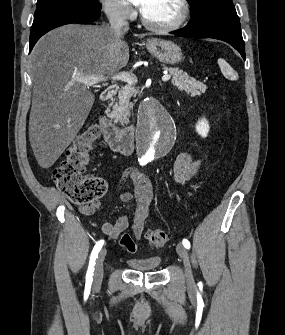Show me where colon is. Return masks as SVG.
I'll return each mask as SVG.
<instances>
[{
  "mask_svg": "<svg viewBox=\"0 0 285 335\" xmlns=\"http://www.w3.org/2000/svg\"><path fill=\"white\" fill-rule=\"evenodd\" d=\"M100 127H86L68 148L64 160L54 169L53 180L58 189L73 203L88 205L104 195L106 181L101 177L85 176L90 152L100 137ZM148 242L156 248H162L169 240V235L154 229L146 235ZM119 244L129 253H136L138 246L132 235L124 232L120 235Z\"/></svg>",
  "mask_w": 285,
  "mask_h": 335,
  "instance_id": "1",
  "label": "colon"
}]
</instances>
